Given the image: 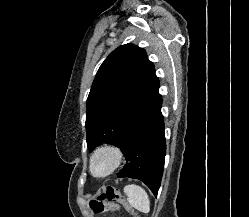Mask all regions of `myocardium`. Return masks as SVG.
<instances>
[{"mask_svg": "<svg viewBox=\"0 0 249 217\" xmlns=\"http://www.w3.org/2000/svg\"><path fill=\"white\" fill-rule=\"evenodd\" d=\"M107 160L106 166L101 169H96V163L99 159ZM124 152L122 148L115 143H104L94 149L89 158V171L96 178H105L113 174L122 164Z\"/></svg>", "mask_w": 249, "mask_h": 217, "instance_id": "f54148a6", "label": "myocardium"}]
</instances>
